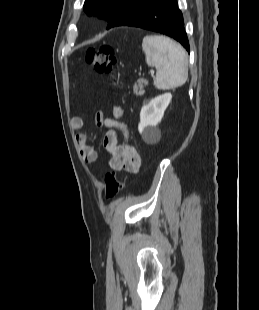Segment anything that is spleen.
<instances>
[{"mask_svg":"<svg viewBox=\"0 0 259 310\" xmlns=\"http://www.w3.org/2000/svg\"><path fill=\"white\" fill-rule=\"evenodd\" d=\"M146 63L156 67L154 86L169 90L185 84L188 77V56L184 48L168 37L147 35L142 41Z\"/></svg>","mask_w":259,"mask_h":310,"instance_id":"obj_1","label":"spleen"}]
</instances>
